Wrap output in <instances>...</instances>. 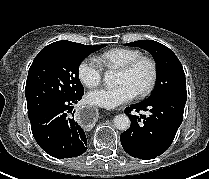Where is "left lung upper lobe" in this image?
<instances>
[{"mask_svg": "<svg viewBox=\"0 0 209 179\" xmlns=\"http://www.w3.org/2000/svg\"><path fill=\"white\" fill-rule=\"evenodd\" d=\"M128 45L147 50L153 55L157 64L156 86L152 94L144 101L155 100L175 92H186L185 73L172 50L152 40L135 41Z\"/></svg>", "mask_w": 209, "mask_h": 179, "instance_id": "1", "label": "left lung upper lobe"}]
</instances>
